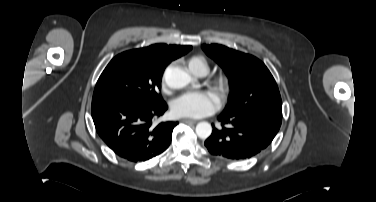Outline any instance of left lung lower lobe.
I'll return each instance as SVG.
<instances>
[{
  "label": "left lung lower lobe",
  "instance_id": "0a47b994",
  "mask_svg": "<svg viewBox=\"0 0 376 202\" xmlns=\"http://www.w3.org/2000/svg\"><path fill=\"white\" fill-rule=\"evenodd\" d=\"M218 120L222 127L213 125L205 146L212 155L231 160L250 158L265 150L281 126V120L261 113L231 115L223 112ZM226 124L229 127H225Z\"/></svg>",
  "mask_w": 376,
  "mask_h": 202
}]
</instances>
